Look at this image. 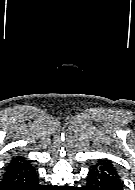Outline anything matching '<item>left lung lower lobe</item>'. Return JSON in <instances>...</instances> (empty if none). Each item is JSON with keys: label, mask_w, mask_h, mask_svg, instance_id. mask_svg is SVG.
<instances>
[{"label": "left lung lower lobe", "mask_w": 135, "mask_h": 190, "mask_svg": "<svg viewBox=\"0 0 135 190\" xmlns=\"http://www.w3.org/2000/svg\"><path fill=\"white\" fill-rule=\"evenodd\" d=\"M85 190H123V183L109 161H99L88 173Z\"/></svg>", "instance_id": "0a47b994"}]
</instances>
